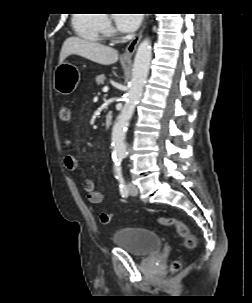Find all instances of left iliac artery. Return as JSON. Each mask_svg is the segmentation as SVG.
<instances>
[{"mask_svg":"<svg viewBox=\"0 0 252 303\" xmlns=\"http://www.w3.org/2000/svg\"><path fill=\"white\" fill-rule=\"evenodd\" d=\"M114 174H115L116 179L119 181L120 194L122 195V197H127L128 189L126 186L125 179L122 175L121 168L119 166H116L114 168Z\"/></svg>","mask_w":252,"mask_h":303,"instance_id":"1","label":"left iliac artery"}]
</instances>
